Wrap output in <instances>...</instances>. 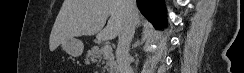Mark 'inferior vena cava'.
<instances>
[{"mask_svg": "<svg viewBox=\"0 0 244 73\" xmlns=\"http://www.w3.org/2000/svg\"><path fill=\"white\" fill-rule=\"evenodd\" d=\"M124 23L118 37L116 49L117 69L119 73H132L129 60V45L136 26V1L122 0Z\"/></svg>", "mask_w": 244, "mask_h": 73, "instance_id": "inferior-vena-cava-1", "label": "inferior vena cava"}]
</instances>
